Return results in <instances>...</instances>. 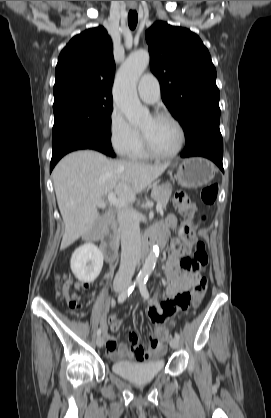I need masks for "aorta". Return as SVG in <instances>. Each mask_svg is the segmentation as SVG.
<instances>
[{
	"instance_id": "762f6f07",
	"label": "aorta",
	"mask_w": 271,
	"mask_h": 418,
	"mask_svg": "<svg viewBox=\"0 0 271 418\" xmlns=\"http://www.w3.org/2000/svg\"><path fill=\"white\" fill-rule=\"evenodd\" d=\"M150 61L148 51L139 50L128 56L122 64L115 81L114 100L129 123L140 125L150 119L149 110L142 106L137 96V83ZM159 256L158 246H153L138 275L143 280L153 271Z\"/></svg>"
}]
</instances>
